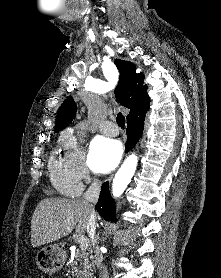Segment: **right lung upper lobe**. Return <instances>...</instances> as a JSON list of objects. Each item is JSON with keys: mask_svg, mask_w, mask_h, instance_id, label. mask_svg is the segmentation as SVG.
<instances>
[{"mask_svg": "<svg viewBox=\"0 0 221 278\" xmlns=\"http://www.w3.org/2000/svg\"><path fill=\"white\" fill-rule=\"evenodd\" d=\"M115 64L120 72V79L115 89L118 102L130 109L127 121L135 118H145L149 109L150 98L147 94V85H144V75L136 73L134 64L116 59ZM76 115V104L71 97H68L60 106L54 132L64 129Z\"/></svg>", "mask_w": 221, "mask_h": 278, "instance_id": "obj_1", "label": "right lung upper lobe"}]
</instances>
